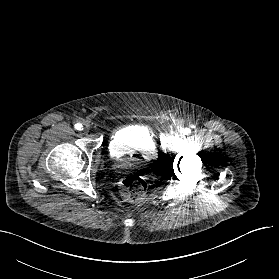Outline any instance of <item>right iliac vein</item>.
<instances>
[{
	"mask_svg": "<svg viewBox=\"0 0 279 279\" xmlns=\"http://www.w3.org/2000/svg\"><path fill=\"white\" fill-rule=\"evenodd\" d=\"M88 126L86 125V127L84 128V131L86 132V131H88Z\"/></svg>",
	"mask_w": 279,
	"mask_h": 279,
	"instance_id": "obj_1",
	"label": "right iliac vein"
}]
</instances>
